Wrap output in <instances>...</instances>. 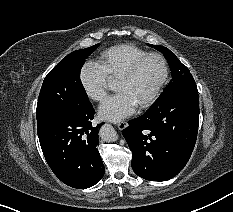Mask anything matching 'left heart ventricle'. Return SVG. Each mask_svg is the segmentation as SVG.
Wrapping results in <instances>:
<instances>
[{
	"label": "left heart ventricle",
	"mask_w": 233,
	"mask_h": 212,
	"mask_svg": "<svg viewBox=\"0 0 233 212\" xmlns=\"http://www.w3.org/2000/svg\"><path fill=\"white\" fill-rule=\"evenodd\" d=\"M163 75V66L159 59L150 58L142 63L134 76L126 81H117L115 90L129 96L138 106L155 90Z\"/></svg>",
	"instance_id": "1"
}]
</instances>
